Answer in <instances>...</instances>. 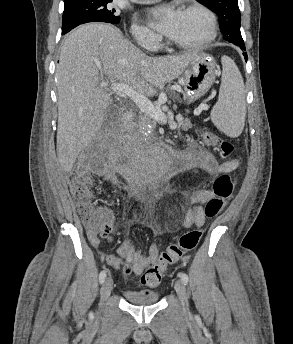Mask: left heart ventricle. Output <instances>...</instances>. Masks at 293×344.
<instances>
[{"mask_svg": "<svg viewBox=\"0 0 293 344\" xmlns=\"http://www.w3.org/2000/svg\"><path fill=\"white\" fill-rule=\"evenodd\" d=\"M208 33V21L199 11H179L174 29L168 37L179 42H194Z\"/></svg>", "mask_w": 293, "mask_h": 344, "instance_id": "1", "label": "left heart ventricle"}]
</instances>
